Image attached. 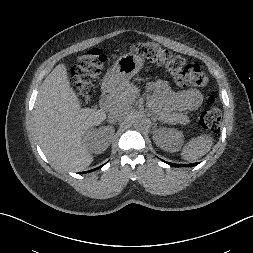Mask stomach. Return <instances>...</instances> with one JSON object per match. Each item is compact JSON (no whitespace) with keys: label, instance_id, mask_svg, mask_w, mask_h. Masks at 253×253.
Returning a JSON list of instances; mask_svg holds the SVG:
<instances>
[{"label":"stomach","instance_id":"1","mask_svg":"<svg viewBox=\"0 0 253 253\" xmlns=\"http://www.w3.org/2000/svg\"><path fill=\"white\" fill-rule=\"evenodd\" d=\"M143 66L144 60L139 55L129 53L119 57L114 67L106 73L103 88L115 89L135 76Z\"/></svg>","mask_w":253,"mask_h":253}]
</instances>
